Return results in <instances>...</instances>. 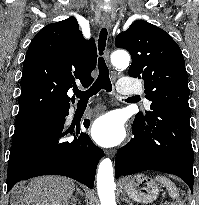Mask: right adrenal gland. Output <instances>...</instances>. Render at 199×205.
Returning a JSON list of instances; mask_svg holds the SVG:
<instances>
[{
	"label": "right adrenal gland",
	"mask_w": 199,
	"mask_h": 205,
	"mask_svg": "<svg viewBox=\"0 0 199 205\" xmlns=\"http://www.w3.org/2000/svg\"><path fill=\"white\" fill-rule=\"evenodd\" d=\"M81 194L83 195L82 191L79 188H76V195L73 197V205H76L77 202V195Z\"/></svg>",
	"instance_id": "2a0ac1e0"
}]
</instances>
